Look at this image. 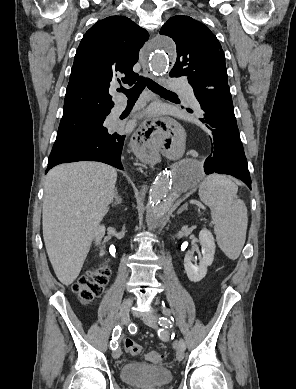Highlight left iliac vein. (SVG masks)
I'll return each instance as SVG.
<instances>
[{"label": "left iliac vein", "mask_w": 296, "mask_h": 389, "mask_svg": "<svg viewBox=\"0 0 296 389\" xmlns=\"http://www.w3.org/2000/svg\"><path fill=\"white\" fill-rule=\"evenodd\" d=\"M143 321L150 327H157V315L154 313H149L144 316ZM176 358L178 361H182L184 359V348L180 345L177 347Z\"/></svg>", "instance_id": "obj_1"}]
</instances>
